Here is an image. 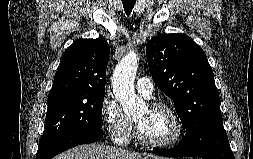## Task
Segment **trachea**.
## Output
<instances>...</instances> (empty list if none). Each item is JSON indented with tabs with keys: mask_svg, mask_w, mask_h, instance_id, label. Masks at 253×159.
Masks as SVG:
<instances>
[{
	"mask_svg": "<svg viewBox=\"0 0 253 159\" xmlns=\"http://www.w3.org/2000/svg\"><path fill=\"white\" fill-rule=\"evenodd\" d=\"M122 3H123L125 13L127 15H130V13L135 5V0H122Z\"/></svg>",
	"mask_w": 253,
	"mask_h": 159,
	"instance_id": "obj_1",
	"label": "trachea"
}]
</instances>
